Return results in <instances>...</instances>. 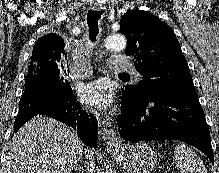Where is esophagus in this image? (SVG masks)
I'll return each mask as SVG.
<instances>
[{
	"label": "esophagus",
	"instance_id": "obj_1",
	"mask_svg": "<svg viewBox=\"0 0 219 173\" xmlns=\"http://www.w3.org/2000/svg\"><path fill=\"white\" fill-rule=\"evenodd\" d=\"M93 8L98 11L105 10V6L102 4H95ZM99 121L100 132L105 144L107 146L118 145L121 139L116 135L112 122L104 117H100Z\"/></svg>",
	"mask_w": 219,
	"mask_h": 173
}]
</instances>
